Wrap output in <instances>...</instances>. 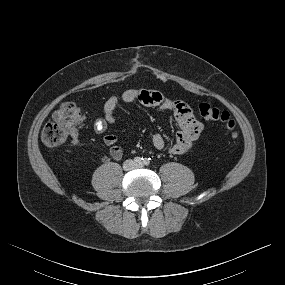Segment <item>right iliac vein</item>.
<instances>
[{"label":"right iliac vein","instance_id":"obj_1","mask_svg":"<svg viewBox=\"0 0 285 285\" xmlns=\"http://www.w3.org/2000/svg\"><path fill=\"white\" fill-rule=\"evenodd\" d=\"M133 167V163L131 162V161H128V162H126L125 164H124V168L126 169V170H129V169H131Z\"/></svg>","mask_w":285,"mask_h":285}]
</instances>
